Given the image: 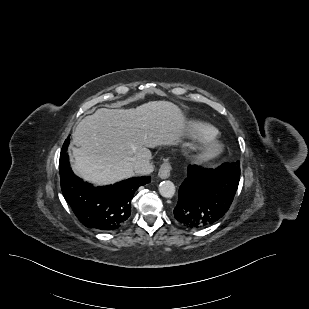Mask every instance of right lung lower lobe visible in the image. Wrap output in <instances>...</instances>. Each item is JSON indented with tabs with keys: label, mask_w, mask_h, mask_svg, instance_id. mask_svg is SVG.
<instances>
[{
	"label": "right lung lower lobe",
	"mask_w": 309,
	"mask_h": 309,
	"mask_svg": "<svg viewBox=\"0 0 309 309\" xmlns=\"http://www.w3.org/2000/svg\"><path fill=\"white\" fill-rule=\"evenodd\" d=\"M69 137L60 154V178L63 195L79 221L88 228L112 231L120 228L131 214V199L150 177L130 178L114 185L94 187L72 172L67 152Z\"/></svg>",
	"instance_id": "98d812e1"
}]
</instances>
